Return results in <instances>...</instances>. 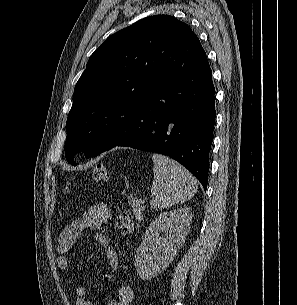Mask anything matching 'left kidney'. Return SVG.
<instances>
[{"label": "left kidney", "mask_w": 297, "mask_h": 305, "mask_svg": "<svg viewBox=\"0 0 297 305\" xmlns=\"http://www.w3.org/2000/svg\"><path fill=\"white\" fill-rule=\"evenodd\" d=\"M192 218L191 208L182 207L165 212L150 223L134 259L141 280L156 277L170 264L182 247ZM160 232L165 236H160Z\"/></svg>", "instance_id": "obj_1"}]
</instances>
